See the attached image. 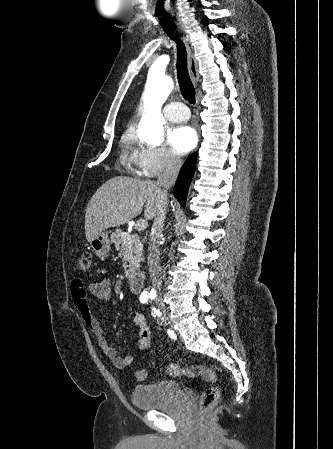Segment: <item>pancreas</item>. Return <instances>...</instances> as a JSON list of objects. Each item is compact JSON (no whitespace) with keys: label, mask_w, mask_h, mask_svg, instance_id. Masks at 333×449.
<instances>
[{"label":"pancreas","mask_w":333,"mask_h":449,"mask_svg":"<svg viewBox=\"0 0 333 449\" xmlns=\"http://www.w3.org/2000/svg\"><path fill=\"white\" fill-rule=\"evenodd\" d=\"M116 250L123 256V268L126 277L130 278L140 266L143 260V244L137 234L130 235L117 231L112 234Z\"/></svg>","instance_id":"1"}]
</instances>
